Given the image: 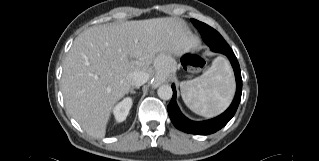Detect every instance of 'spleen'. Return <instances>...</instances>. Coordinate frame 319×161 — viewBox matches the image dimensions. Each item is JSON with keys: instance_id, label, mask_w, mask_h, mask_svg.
<instances>
[{"instance_id": "3e777b00", "label": "spleen", "mask_w": 319, "mask_h": 161, "mask_svg": "<svg viewBox=\"0 0 319 161\" xmlns=\"http://www.w3.org/2000/svg\"><path fill=\"white\" fill-rule=\"evenodd\" d=\"M234 88L232 69L223 57L216 58L210 69L201 76L180 84L186 106L205 117L223 112L233 97Z\"/></svg>"}]
</instances>
